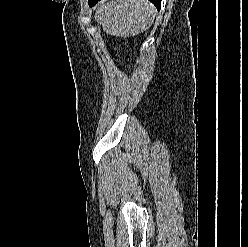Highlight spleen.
<instances>
[{
    "mask_svg": "<svg viewBox=\"0 0 248 247\" xmlns=\"http://www.w3.org/2000/svg\"><path fill=\"white\" fill-rule=\"evenodd\" d=\"M155 15L148 0H112L97 8L95 20L107 34L129 37L147 30Z\"/></svg>",
    "mask_w": 248,
    "mask_h": 247,
    "instance_id": "1",
    "label": "spleen"
}]
</instances>
